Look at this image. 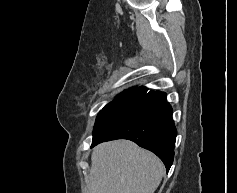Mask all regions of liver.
Wrapping results in <instances>:
<instances>
[{
  "instance_id": "liver-1",
  "label": "liver",
  "mask_w": 237,
  "mask_h": 193,
  "mask_svg": "<svg viewBox=\"0 0 237 193\" xmlns=\"http://www.w3.org/2000/svg\"><path fill=\"white\" fill-rule=\"evenodd\" d=\"M163 174L161 160L134 142L102 143L91 156L90 193H154Z\"/></svg>"
}]
</instances>
